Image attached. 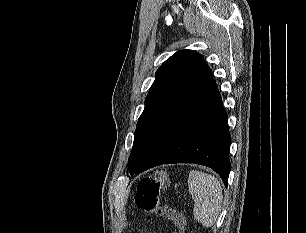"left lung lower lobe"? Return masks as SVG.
Returning <instances> with one entry per match:
<instances>
[{"instance_id":"left-lung-lower-lobe-1","label":"left lung lower lobe","mask_w":306,"mask_h":233,"mask_svg":"<svg viewBox=\"0 0 306 233\" xmlns=\"http://www.w3.org/2000/svg\"><path fill=\"white\" fill-rule=\"evenodd\" d=\"M217 85L165 134L136 173L170 163H195L212 168L225 186L230 173L231 136Z\"/></svg>"}]
</instances>
